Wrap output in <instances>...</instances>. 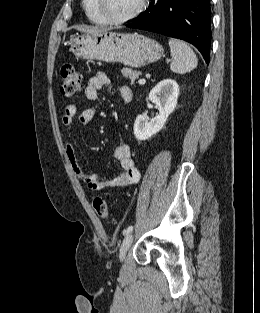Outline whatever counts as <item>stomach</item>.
<instances>
[{
    "instance_id": "obj_1",
    "label": "stomach",
    "mask_w": 260,
    "mask_h": 313,
    "mask_svg": "<svg viewBox=\"0 0 260 313\" xmlns=\"http://www.w3.org/2000/svg\"><path fill=\"white\" fill-rule=\"evenodd\" d=\"M70 52L78 58L139 68L158 61L164 50L157 41L139 33L106 31L75 37L70 42Z\"/></svg>"
}]
</instances>
